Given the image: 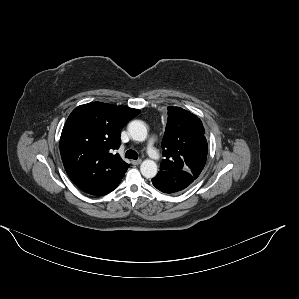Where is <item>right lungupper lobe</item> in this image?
I'll use <instances>...</instances> for the list:
<instances>
[{
  "label": "right lung upper lobe",
  "mask_w": 299,
  "mask_h": 299,
  "mask_svg": "<svg viewBox=\"0 0 299 299\" xmlns=\"http://www.w3.org/2000/svg\"><path fill=\"white\" fill-rule=\"evenodd\" d=\"M140 110L92 102L75 108L60 137V153L70 179L84 192L101 196L113 191L129 165L113 150L120 130Z\"/></svg>",
  "instance_id": "1"
}]
</instances>
